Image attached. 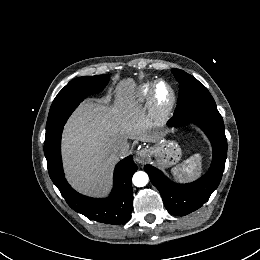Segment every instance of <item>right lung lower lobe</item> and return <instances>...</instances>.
I'll use <instances>...</instances> for the list:
<instances>
[{"label":"right lung lower lobe","instance_id":"right-lung-lower-lobe-1","mask_svg":"<svg viewBox=\"0 0 260 260\" xmlns=\"http://www.w3.org/2000/svg\"><path fill=\"white\" fill-rule=\"evenodd\" d=\"M63 127L49 140L45 139L44 153L48 171L68 205L91 220L107 224L126 223L132 212V176L137 166L132 156L120 161L114 171V188L106 199H94L77 193L67 183L61 161V133Z\"/></svg>","mask_w":260,"mask_h":260}]
</instances>
